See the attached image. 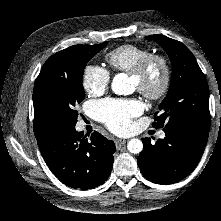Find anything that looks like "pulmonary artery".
I'll list each match as a JSON object with an SVG mask.
<instances>
[{
	"mask_svg": "<svg viewBox=\"0 0 221 221\" xmlns=\"http://www.w3.org/2000/svg\"><path fill=\"white\" fill-rule=\"evenodd\" d=\"M158 137L161 138V139L164 138V137H165V133H164V132H160V133L158 134Z\"/></svg>",
	"mask_w": 221,
	"mask_h": 221,
	"instance_id": "pulmonary-artery-1",
	"label": "pulmonary artery"
}]
</instances>
